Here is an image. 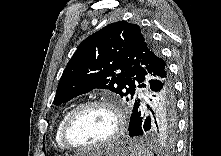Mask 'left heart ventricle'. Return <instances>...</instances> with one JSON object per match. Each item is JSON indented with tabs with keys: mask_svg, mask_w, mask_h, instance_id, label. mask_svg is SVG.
<instances>
[{
	"mask_svg": "<svg viewBox=\"0 0 221 156\" xmlns=\"http://www.w3.org/2000/svg\"><path fill=\"white\" fill-rule=\"evenodd\" d=\"M115 118L105 107H91L82 112L72 123L69 138L79 146L99 144L114 131Z\"/></svg>",
	"mask_w": 221,
	"mask_h": 156,
	"instance_id": "b2bd125f",
	"label": "left heart ventricle"
}]
</instances>
